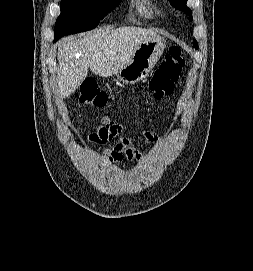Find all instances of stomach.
<instances>
[{
	"label": "stomach",
	"instance_id": "1",
	"mask_svg": "<svg viewBox=\"0 0 253 271\" xmlns=\"http://www.w3.org/2000/svg\"><path fill=\"white\" fill-rule=\"evenodd\" d=\"M164 48L162 38L142 42L129 63L115 74L117 79L125 84H134L146 78L163 54Z\"/></svg>",
	"mask_w": 253,
	"mask_h": 271
}]
</instances>
